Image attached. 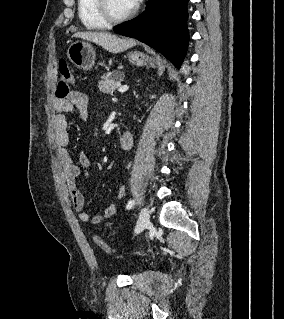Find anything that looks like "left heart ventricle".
Returning a JSON list of instances; mask_svg holds the SVG:
<instances>
[{"label": "left heart ventricle", "mask_w": 284, "mask_h": 319, "mask_svg": "<svg viewBox=\"0 0 284 319\" xmlns=\"http://www.w3.org/2000/svg\"><path fill=\"white\" fill-rule=\"evenodd\" d=\"M108 5L114 16L125 15L132 9L128 0H108Z\"/></svg>", "instance_id": "1"}]
</instances>
